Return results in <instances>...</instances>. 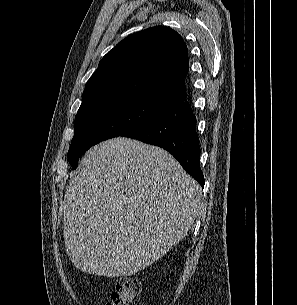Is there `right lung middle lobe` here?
Here are the masks:
<instances>
[{"mask_svg": "<svg viewBox=\"0 0 297 305\" xmlns=\"http://www.w3.org/2000/svg\"><path fill=\"white\" fill-rule=\"evenodd\" d=\"M172 105L154 97L125 95L79 108L67 154L72 168H77L79 157L91 146L146 124Z\"/></svg>", "mask_w": 297, "mask_h": 305, "instance_id": "right-lung-middle-lobe-1", "label": "right lung middle lobe"}]
</instances>
